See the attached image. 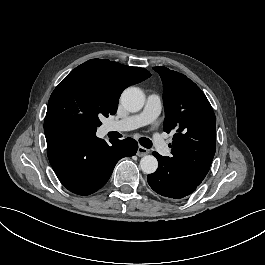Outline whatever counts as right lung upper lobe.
Returning a JSON list of instances; mask_svg holds the SVG:
<instances>
[{"label":"right lung upper lobe","instance_id":"obj_1","mask_svg":"<svg viewBox=\"0 0 265 265\" xmlns=\"http://www.w3.org/2000/svg\"><path fill=\"white\" fill-rule=\"evenodd\" d=\"M77 68H91L97 71L104 78L111 94L118 99L125 88L151 76L145 69L121 65L106 59H92Z\"/></svg>","mask_w":265,"mask_h":265}]
</instances>
